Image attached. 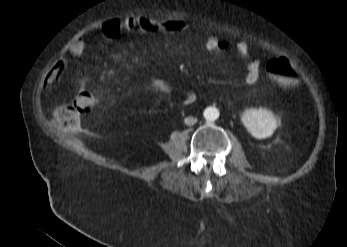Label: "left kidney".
<instances>
[{
  "label": "left kidney",
  "instance_id": "1",
  "mask_svg": "<svg viewBox=\"0 0 347 247\" xmlns=\"http://www.w3.org/2000/svg\"><path fill=\"white\" fill-rule=\"evenodd\" d=\"M242 123L249 133L257 139L270 137L279 126V120L268 109H250L243 113Z\"/></svg>",
  "mask_w": 347,
  "mask_h": 247
}]
</instances>
